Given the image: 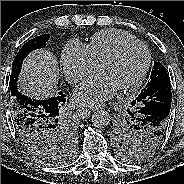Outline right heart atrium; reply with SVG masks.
Listing matches in <instances>:
<instances>
[{"instance_id":"obj_1","label":"right heart atrium","mask_w":184,"mask_h":184,"mask_svg":"<svg viewBox=\"0 0 184 184\" xmlns=\"http://www.w3.org/2000/svg\"><path fill=\"white\" fill-rule=\"evenodd\" d=\"M60 61L65 77L70 83H77L97 70L88 46L77 39L70 40L63 48Z\"/></svg>"}]
</instances>
